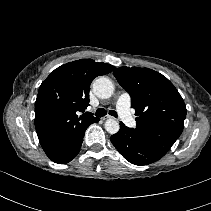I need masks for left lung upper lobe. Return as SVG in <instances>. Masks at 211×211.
Returning <instances> with one entry per match:
<instances>
[{
	"label": "left lung upper lobe",
	"instance_id": "5c2ea615",
	"mask_svg": "<svg viewBox=\"0 0 211 211\" xmlns=\"http://www.w3.org/2000/svg\"><path fill=\"white\" fill-rule=\"evenodd\" d=\"M113 74L130 94L138 116L134 131L165 155L184 127L186 106L178 90L165 76L148 68L120 67Z\"/></svg>",
	"mask_w": 211,
	"mask_h": 211
}]
</instances>
